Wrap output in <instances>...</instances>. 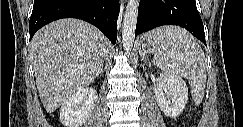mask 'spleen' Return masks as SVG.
Masks as SVG:
<instances>
[{
    "instance_id": "3e777b00",
    "label": "spleen",
    "mask_w": 243,
    "mask_h": 127,
    "mask_svg": "<svg viewBox=\"0 0 243 127\" xmlns=\"http://www.w3.org/2000/svg\"><path fill=\"white\" fill-rule=\"evenodd\" d=\"M156 38L162 43V50L154 57L156 65L168 75L186 78L193 100L200 104L207 79L203 50L191 34L179 27L159 29Z\"/></svg>"
}]
</instances>
